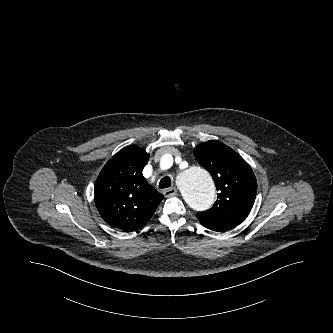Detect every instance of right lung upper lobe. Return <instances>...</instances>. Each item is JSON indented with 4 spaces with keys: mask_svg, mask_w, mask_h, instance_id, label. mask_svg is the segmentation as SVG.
Wrapping results in <instances>:
<instances>
[{
    "mask_svg": "<svg viewBox=\"0 0 333 333\" xmlns=\"http://www.w3.org/2000/svg\"><path fill=\"white\" fill-rule=\"evenodd\" d=\"M149 154L123 148L101 170L94 188L96 207L106 223L125 232L145 226L163 199L142 175Z\"/></svg>",
    "mask_w": 333,
    "mask_h": 333,
    "instance_id": "cb5924a9",
    "label": "right lung upper lobe"
}]
</instances>
